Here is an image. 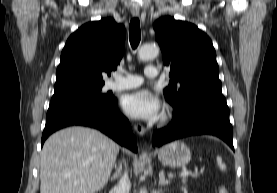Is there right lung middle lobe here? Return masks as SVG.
Segmentation results:
<instances>
[{
	"instance_id": "obj_1",
	"label": "right lung middle lobe",
	"mask_w": 277,
	"mask_h": 193,
	"mask_svg": "<svg viewBox=\"0 0 277 193\" xmlns=\"http://www.w3.org/2000/svg\"><path fill=\"white\" fill-rule=\"evenodd\" d=\"M101 89H102V86H98V87H92V88L79 89V90H75V91H72L69 93H79V94L91 95V96L100 97L102 99H107V98L113 97L110 94H101Z\"/></svg>"
}]
</instances>
